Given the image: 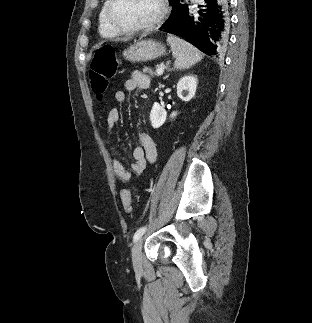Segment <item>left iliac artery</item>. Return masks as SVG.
Wrapping results in <instances>:
<instances>
[{
	"label": "left iliac artery",
	"instance_id": "left-iliac-artery-1",
	"mask_svg": "<svg viewBox=\"0 0 312 323\" xmlns=\"http://www.w3.org/2000/svg\"><path fill=\"white\" fill-rule=\"evenodd\" d=\"M146 231V227L139 228L134 234L133 240L136 242Z\"/></svg>",
	"mask_w": 312,
	"mask_h": 323
}]
</instances>
